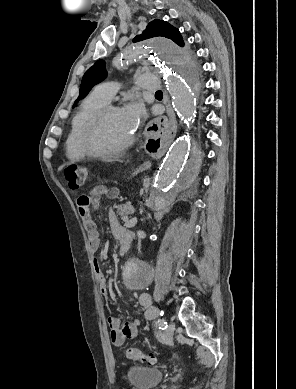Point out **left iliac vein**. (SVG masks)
<instances>
[{"label": "left iliac vein", "mask_w": 296, "mask_h": 389, "mask_svg": "<svg viewBox=\"0 0 296 389\" xmlns=\"http://www.w3.org/2000/svg\"><path fill=\"white\" fill-rule=\"evenodd\" d=\"M174 334V326L172 323H169L166 330H165V337L166 339H171Z\"/></svg>", "instance_id": "4c4485c4"}]
</instances>
